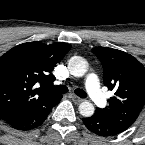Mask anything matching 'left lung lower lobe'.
I'll return each instance as SVG.
<instances>
[{
    "label": "left lung lower lobe",
    "instance_id": "1",
    "mask_svg": "<svg viewBox=\"0 0 145 145\" xmlns=\"http://www.w3.org/2000/svg\"><path fill=\"white\" fill-rule=\"evenodd\" d=\"M83 122L88 130L99 136L108 137L123 132V130L108 122L98 110L93 116L83 118Z\"/></svg>",
    "mask_w": 145,
    "mask_h": 145
}]
</instances>
